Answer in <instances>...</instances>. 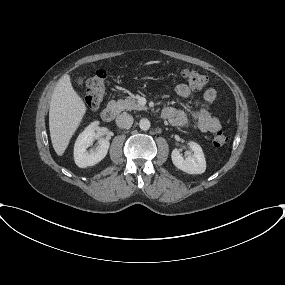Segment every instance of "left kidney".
Returning <instances> with one entry per match:
<instances>
[{"label": "left kidney", "instance_id": "left-kidney-1", "mask_svg": "<svg viewBox=\"0 0 285 285\" xmlns=\"http://www.w3.org/2000/svg\"><path fill=\"white\" fill-rule=\"evenodd\" d=\"M193 154L184 158L177 149L171 153L172 162L178 169L188 174H202L206 170V161L201 146L195 142H189Z\"/></svg>", "mask_w": 285, "mask_h": 285}]
</instances>
